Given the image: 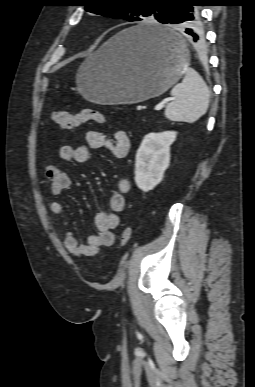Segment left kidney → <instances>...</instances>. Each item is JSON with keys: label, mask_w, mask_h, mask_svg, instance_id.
<instances>
[{"label": "left kidney", "mask_w": 255, "mask_h": 387, "mask_svg": "<svg viewBox=\"0 0 255 387\" xmlns=\"http://www.w3.org/2000/svg\"><path fill=\"white\" fill-rule=\"evenodd\" d=\"M176 135L175 131H165L149 133L143 138L135 162V182L142 191L148 192L162 181Z\"/></svg>", "instance_id": "obj_1"}]
</instances>
